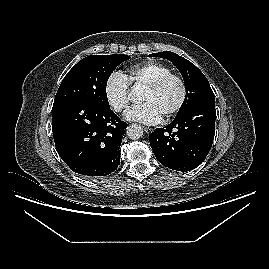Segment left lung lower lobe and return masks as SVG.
I'll use <instances>...</instances> for the list:
<instances>
[{"label": "left lung lower lobe", "mask_w": 269, "mask_h": 269, "mask_svg": "<svg viewBox=\"0 0 269 269\" xmlns=\"http://www.w3.org/2000/svg\"><path fill=\"white\" fill-rule=\"evenodd\" d=\"M215 99L195 104L164 128L149 135L157 160L173 170L190 171L199 166L209 153L215 135Z\"/></svg>", "instance_id": "1"}]
</instances>
